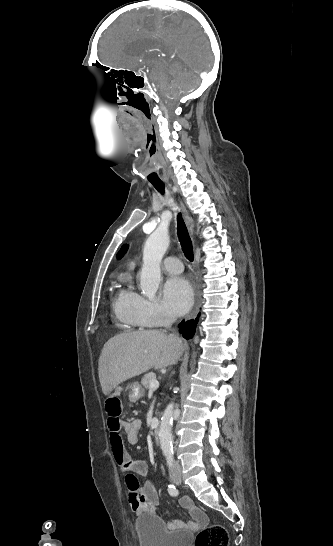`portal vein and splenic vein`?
I'll list each match as a JSON object with an SVG mask.
<instances>
[{
    "label": "portal vein and splenic vein",
    "instance_id": "18ae733b",
    "mask_svg": "<svg viewBox=\"0 0 333 546\" xmlns=\"http://www.w3.org/2000/svg\"><path fill=\"white\" fill-rule=\"evenodd\" d=\"M149 387L150 390H156L159 387V382L157 380H152Z\"/></svg>",
    "mask_w": 333,
    "mask_h": 546
}]
</instances>
